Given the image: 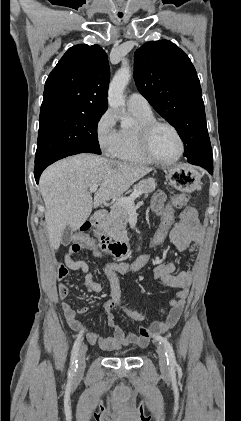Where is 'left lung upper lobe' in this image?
<instances>
[{
	"instance_id": "5c2ea615",
	"label": "left lung upper lobe",
	"mask_w": 241,
	"mask_h": 421,
	"mask_svg": "<svg viewBox=\"0 0 241 421\" xmlns=\"http://www.w3.org/2000/svg\"><path fill=\"white\" fill-rule=\"evenodd\" d=\"M139 92L173 125L188 160L212 161L200 82L189 57L168 40L149 41L135 52Z\"/></svg>"
}]
</instances>
